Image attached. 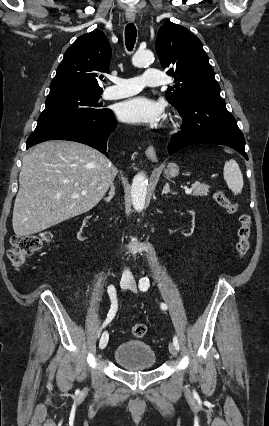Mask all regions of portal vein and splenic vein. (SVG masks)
<instances>
[{
	"mask_svg": "<svg viewBox=\"0 0 269 426\" xmlns=\"http://www.w3.org/2000/svg\"><path fill=\"white\" fill-rule=\"evenodd\" d=\"M193 191V189L192 188H187V189H185V193L186 194H189V193H191ZM82 194L84 195V194H86V192H82Z\"/></svg>",
	"mask_w": 269,
	"mask_h": 426,
	"instance_id": "portal-vein-and-splenic-vein-1",
	"label": "portal vein and splenic vein"
}]
</instances>
